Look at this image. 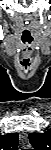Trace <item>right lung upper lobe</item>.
I'll list each match as a JSON object with an SVG mask.
<instances>
[{
  "label": "right lung upper lobe",
  "instance_id": "1",
  "mask_svg": "<svg viewBox=\"0 0 51 150\" xmlns=\"http://www.w3.org/2000/svg\"><path fill=\"white\" fill-rule=\"evenodd\" d=\"M18 137L19 135L17 133L0 136V149L18 150Z\"/></svg>",
  "mask_w": 51,
  "mask_h": 150
}]
</instances>
